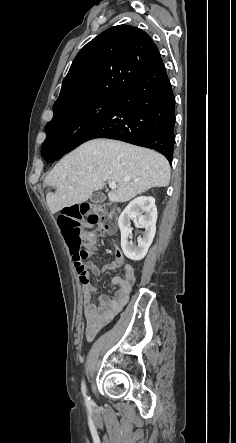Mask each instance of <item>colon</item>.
<instances>
[{"mask_svg":"<svg viewBox=\"0 0 236 443\" xmlns=\"http://www.w3.org/2000/svg\"><path fill=\"white\" fill-rule=\"evenodd\" d=\"M86 217L89 226H96L101 232H110L116 226V211L114 207L98 203H82L65 206L58 215V226L62 231L74 266L82 267L91 255L90 248L84 247L90 235H85L81 221Z\"/></svg>","mask_w":236,"mask_h":443,"instance_id":"1","label":"colon"}]
</instances>
